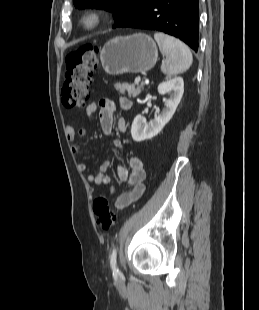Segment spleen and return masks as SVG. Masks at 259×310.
I'll return each instance as SVG.
<instances>
[{
  "mask_svg": "<svg viewBox=\"0 0 259 310\" xmlns=\"http://www.w3.org/2000/svg\"><path fill=\"white\" fill-rule=\"evenodd\" d=\"M154 38L166 60L161 65V71L168 76L178 75L187 71L192 65L193 57L190 49L182 41L157 32Z\"/></svg>",
  "mask_w": 259,
  "mask_h": 310,
  "instance_id": "obj_1",
  "label": "spleen"
}]
</instances>
